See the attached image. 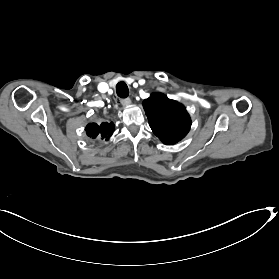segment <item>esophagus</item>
<instances>
[{"label": "esophagus", "mask_w": 279, "mask_h": 279, "mask_svg": "<svg viewBox=\"0 0 279 279\" xmlns=\"http://www.w3.org/2000/svg\"><path fill=\"white\" fill-rule=\"evenodd\" d=\"M130 102H131V100H130L129 97L123 98V99L121 100V104H122L123 106L129 105Z\"/></svg>", "instance_id": "34e87169"}]
</instances>
